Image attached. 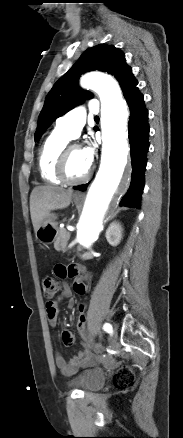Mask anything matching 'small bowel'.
Segmentation results:
<instances>
[{
  "instance_id": "small-bowel-1",
  "label": "small bowel",
  "mask_w": 183,
  "mask_h": 438,
  "mask_svg": "<svg viewBox=\"0 0 183 438\" xmlns=\"http://www.w3.org/2000/svg\"><path fill=\"white\" fill-rule=\"evenodd\" d=\"M56 276L60 278L78 276L79 280L74 283L71 288L67 283L63 284L61 298H71L73 292L84 295L88 291L86 282L91 278L90 274L78 265H63L58 264L54 268ZM46 311L48 321L51 326H55L58 318V304L55 301H50L46 304ZM62 342L70 346L74 343L75 335L71 330H64L62 332ZM93 360V355L88 349L78 351L68 362L60 353L55 354V364L64 376H71L75 374L80 368L86 366Z\"/></svg>"
}]
</instances>
